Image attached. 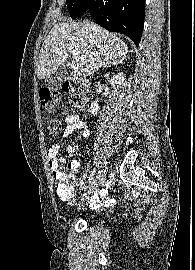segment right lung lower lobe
<instances>
[{"label":"right lung lower lobe","instance_id":"obj_1","mask_svg":"<svg viewBox=\"0 0 195 270\" xmlns=\"http://www.w3.org/2000/svg\"><path fill=\"white\" fill-rule=\"evenodd\" d=\"M145 0H89V12L103 28L127 35L138 47L145 18Z\"/></svg>","mask_w":195,"mask_h":270}]
</instances>
